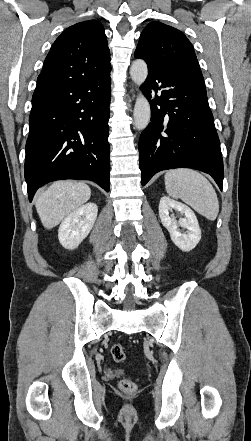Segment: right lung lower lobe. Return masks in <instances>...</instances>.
I'll return each mask as SVG.
<instances>
[{"label": "right lung lower lobe", "instance_id": "right-lung-lower-lobe-1", "mask_svg": "<svg viewBox=\"0 0 251 441\" xmlns=\"http://www.w3.org/2000/svg\"><path fill=\"white\" fill-rule=\"evenodd\" d=\"M110 71L37 84L25 158L30 201L39 187L61 179L91 180L109 192Z\"/></svg>", "mask_w": 251, "mask_h": 441}]
</instances>
